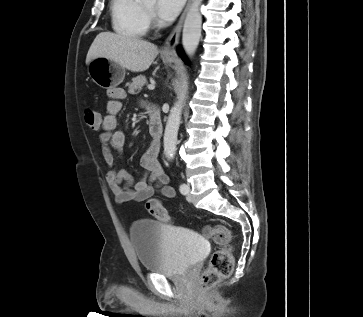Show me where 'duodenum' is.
Masks as SVG:
<instances>
[{
  "mask_svg": "<svg viewBox=\"0 0 363 317\" xmlns=\"http://www.w3.org/2000/svg\"><path fill=\"white\" fill-rule=\"evenodd\" d=\"M149 132L152 144L160 148L163 138V122L157 107L151 106L149 110Z\"/></svg>",
  "mask_w": 363,
  "mask_h": 317,
  "instance_id": "duodenum-1",
  "label": "duodenum"
}]
</instances>
